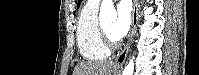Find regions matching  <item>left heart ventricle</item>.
I'll list each match as a JSON object with an SVG mask.
<instances>
[{
	"label": "left heart ventricle",
	"mask_w": 199,
	"mask_h": 75,
	"mask_svg": "<svg viewBox=\"0 0 199 75\" xmlns=\"http://www.w3.org/2000/svg\"><path fill=\"white\" fill-rule=\"evenodd\" d=\"M111 25H112V21H107V22H104L102 23V26L104 27L105 31L107 32V34L111 37L110 35V28H111ZM112 38V37H111Z\"/></svg>",
	"instance_id": "1"
}]
</instances>
